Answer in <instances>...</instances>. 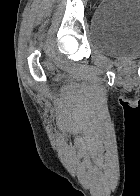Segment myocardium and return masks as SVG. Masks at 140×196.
Wrapping results in <instances>:
<instances>
[{"label":"myocardium","instance_id":"myocardium-1","mask_svg":"<svg viewBox=\"0 0 140 196\" xmlns=\"http://www.w3.org/2000/svg\"><path fill=\"white\" fill-rule=\"evenodd\" d=\"M88 192H117V191H88Z\"/></svg>","mask_w":140,"mask_h":196}]
</instances>
